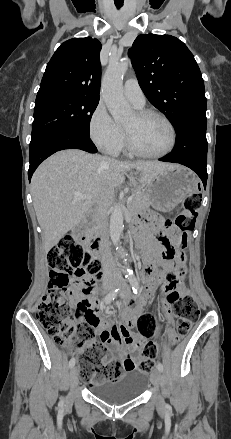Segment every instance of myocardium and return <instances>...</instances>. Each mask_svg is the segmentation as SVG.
<instances>
[{
    "instance_id": "obj_1",
    "label": "myocardium",
    "mask_w": 231,
    "mask_h": 439,
    "mask_svg": "<svg viewBox=\"0 0 231 439\" xmlns=\"http://www.w3.org/2000/svg\"><path fill=\"white\" fill-rule=\"evenodd\" d=\"M136 114L140 118H144V117H148V116H155V117H158L161 120H163L170 130L171 141H170L169 146L162 152L145 153L135 146V144L132 141V138H131L129 131L126 128H124L125 144H126L128 151L137 157L146 158V159L161 158V157H164V156L168 155L169 153H171L174 150L176 143H177V132H176V128H175L173 122L162 112H159V111L153 110V109H140L136 112Z\"/></svg>"
}]
</instances>
